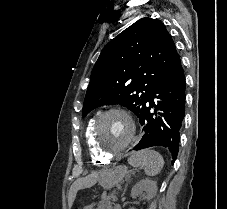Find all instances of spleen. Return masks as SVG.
I'll use <instances>...</instances> for the list:
<instances>
[{
    "mask_svg": "<svg viewBox=\"0 0 227 209\" xmlns=\"http://www.w3.org/2000/svg\"><path fill=\"white\" fill-rule=\"evenodd\" d=\"M128 163L131 167L144 169L145 175H148V177H155V175H158L164 167L162 155H159L157 151H148V149L136 151L134 155L129 157Z\"/></svg>",
    "mask_w": 227,
    "mask_h": 209,
    "instance_id": "spleen-1",
    "label": "spleen"
}]
</instances>
